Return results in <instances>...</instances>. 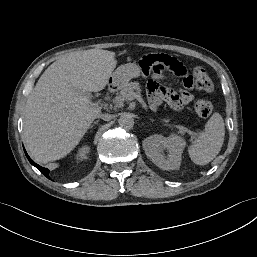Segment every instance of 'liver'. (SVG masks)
Returning a JSON list of instances; mask_svg holds the SVG:
<instances>
[{
	"mask_svg": "<svg viewBox=\"0 0 257 257\" xmlns=\"http://www.w3.org/2000/svg\"><path fill=\"white\" fill-rule=\"evenodd\" d=\"M116 64L114 52L89 49L44 71L25 105L24 139L36 162L59 160L78 145L101 111L88 92L103 90Z\"/></svg>",
	"mask_w": 257,
	"mask_h": 257,
	"instance_id": "obj_1",
	"label": "liver"
}]
</instances>
